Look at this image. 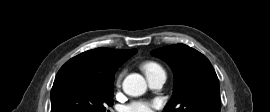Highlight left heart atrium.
<instances>
[{"mask_svg":"<svg viewBox=\"0 0 270 112\" xmlns=\"http://www.w3.org/2000/svg\"><path fill=\"white\" fill-rule=\"evenodd\" d=\"M159 106L158 102H132L123 108V112H152Z\"/></svg>","mask_w":270,"mask_h":112,"instance_id":"39dd6f15","label":"left heart atrium"}]
</instances>
